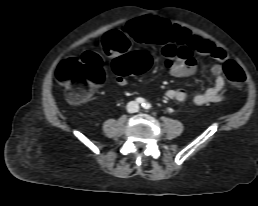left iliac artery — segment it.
Returning a JSON list of instances; mask_svg holds the SVG:
<instances>
[{
	"mask_svg": "<svg viewBox=\"0 0 258 206\" xmlns=\"http://www.w3.org/2000/svg\"><path fill=\"white\" fill-rule=\"evenodd\" d=\"M145 109H149L151 107V105L149 103H145L142 105Z\"/></svg>",
	"mask_w": 258,
	"mask_h": 206,
	"instance_id": "obj_1",
	"label": "left iliac artery"
}]
</instances>
